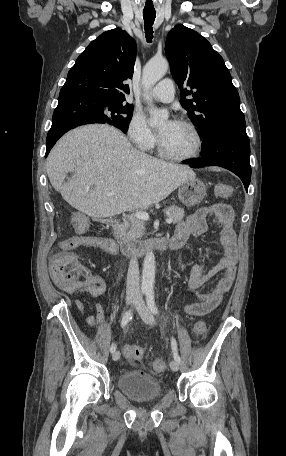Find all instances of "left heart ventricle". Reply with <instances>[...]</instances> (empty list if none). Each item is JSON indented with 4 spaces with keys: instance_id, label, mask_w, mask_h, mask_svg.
Wrapping results in <instances>:
<instances>
[{
    "instance_id": "left-heart-ventricle-1",
    "label": "left heart ventricle",
    "mask_w": 286,
    "mask_h": 456,
    "mask_svg": "<svg viewBox=\"0 0 286 456\" xmlns=\"http://www.w3.org/2000/svg\"><path fill=\"white\" fill-rule=\"evenodd\" d=\"M164 123L159 128V136L164 149L176 156H185L194 152L197 141L192 131L173 122L167 126Z\"/></svg>"
}]
</instances>
